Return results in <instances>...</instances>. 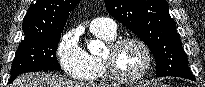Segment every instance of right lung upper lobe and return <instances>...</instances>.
I'll list each match as a JSON object with an SVG mask.
<instances>
[{"label": "right lung upper lobe", "instance_id": "1", "mask_svg": "<svg viewBox=\"0 0 205 87\" xmlns=\"http://www.w3.org/2000/svg\"><path fill=\"white\" fill-rule=\"evenodd\" d=\"M80 0H37L23 20L25 35L63 31L69 13Z\"/></svg>", "mask_w": 205, "mask_h": 87}]
</instances>
